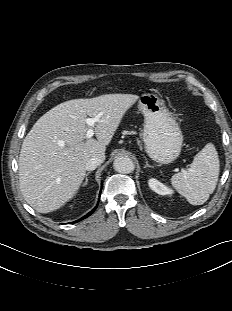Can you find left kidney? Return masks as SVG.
<instances>
[{
  "label": "left kidney",
  "instance_id": "obj_1",
  "mask_svg": "<svg viewBox=\"0 0 232 311\" xmlns=\"http://www.w3.org/2000/svg\"><path fill=\"white\" fill-rule=\"evenodd\" d=\"M148 185L154 192L160 195H167L173 193L172 189L168 188L166 185H164L155 178L149 179Z\"/></svg>",
  "mask_w": 232,
  "mask_h": 311
}]
</instances>
